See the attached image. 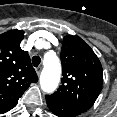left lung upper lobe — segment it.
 <instances>
[{
  "label": "left lung upper lobe",
  "mask_w": 117,
  "mask_h": 117,
  "mask_svg": "<svg viewBox=\"0 0 117 117\" xmlns=\"http://www.w3.org/2000/svg\"><path fill=\"white\" fill-rule=\"evenodd\" d=\"M61 63L62 84L55 93L46 96L83 113L92 107L101 92L102 65L90 46L80 37L72 35L64 37Z\"/></svg>",
  "instance_id": "left-lung-upper-lobe-1"
}]
</instances>
